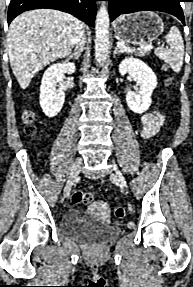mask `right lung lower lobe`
<instances>
[{
	"mask_svg": "<svg viewBox=\"0 0 193 287\" xmlns=\"http://www.w3.org/2000/svg\"><path fill=\"white\" fill-rule=\"evenodd\" d=\"M98 0H11L8 8V24L24 11L40 8L56 9L70 13L92 26Z\"/></svg>",
	"mask_w": 193,
	"mask_h": 287,
	"instance_id": "98d812e1",
	"label": "right lung lower lobe"
}]
</instances>
